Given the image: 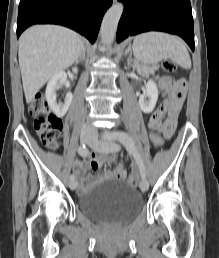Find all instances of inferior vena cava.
Instances as JSON below:
<instances>
[{"label":"inferior vena cava","instance_id":"602c4592","mask_svg":"<svg viewBox=\"0 0 219 258\" xmlns=\"http://www.w3.org/2000/svg\"><path fill=\"white\" fill-rule=\"evenodd\" d=\"M84 130L93 133V132H95L96 129H95L94 126H92L91 124L86 123V124L84 125Z\"/></svg>","mask_w":219,"mask_h":258}]
</instances>
